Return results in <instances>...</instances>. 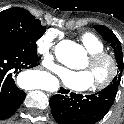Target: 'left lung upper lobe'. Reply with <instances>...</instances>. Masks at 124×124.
I'll list each match as a JSON object with an SVG mask.
<instances>
[{
	"mask_svg": "<svg viewBox=\"0 0 124 124\" xmlns=\"http://www.w3.org/2000/svg\"><path fill=\"white\" fill-rule=\"evenodd\" d=\"M94 28L101 34V36L108 42L111 43L112 48L114 49L115 53V58L118 64V73L113 79L112 84L110 86L118 88L120 81H121V76L123 72V53H122V48L120 41L118 38L115 36V34L106 26L103 25H95Z\"/></svg>",
	"mask_w": 124,
	"mask_h": 124,
	"instance_id": "5c2ea615",
	"label": "left lung upper lobe"
}]
</instances>
